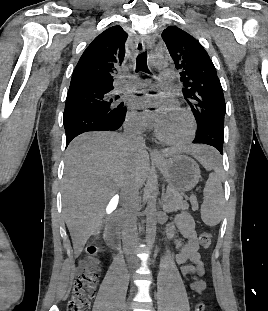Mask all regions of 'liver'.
<instances>
[{"label":"liver","instance_id":"liver-1","mask_svg":"<svg viewBox=\"0 0 268 311\" xmlns=\"http://www.w3.org/2000/svg\"><path fill=\"white\" fill-rule=\"evenodd\" d=\"M201 148L194 146L190 152L197 156ZM175 153L166 149L152 156L157 159ZM148 170V153L122 134L89 132L70 143L65 157L63 214L75 257L98 230L117 190L138 191Z\"/></svg>","mask_w":268,"mask_h":311}]
</instances>
